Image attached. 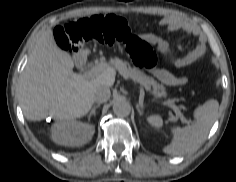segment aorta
Listing matches in <instances>:
<instances>
[{
  "label": "aorta",
  "mask_w": 236,
  "mask_h": 182,
  "mask_svg": "<svg viewBox=\"0 0 236 182\" xmlns=\"http://www.w3.org/2000/svg\"><path fill=\"white\" fill-rule=\"evenodd\" d=\"M113 111L118 117H127L130 114L131 106L127 100L120 98L113 103Z\"/></svg>",
  "instance_id": "1"
}]
</instances>
